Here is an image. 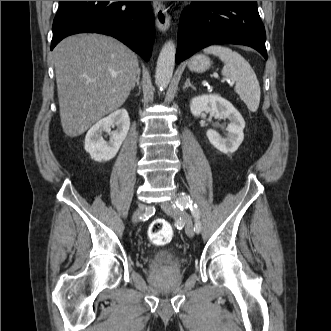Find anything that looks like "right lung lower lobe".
Wrapping results in <instances>:
<instances>
[{
	"label": "right lung lower lobe",
	"instance_id": "98d812e1",
	"mask_svg": "<svg viewBox=\"0 0 331 331\" xmlns=\"http://www.w3.org/2000/svg\"><path fill=\"white\" fill-rule=\"evenodd\" d=\"M82 32L115 37L148 61L154 40L150 1H60L51 50L63 38Z\"/></svg>",
	"mask_w": 331,
	"mask_h": 331
}]
</instances>
